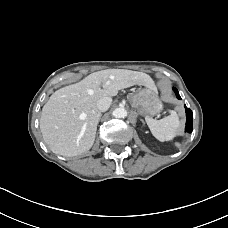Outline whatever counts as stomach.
Returning a JSON list of instances; mask_svg holds the SVG:
<instances>
[{"instance_id":"stomach-1","label":"stomach","mask_w":228,"mask_h":228,"mask_svg":"<svg viewBox=\"0 0 228 228\" xmlns=\"http://www.w3.org/2000/svg\"><path fill=\"white\" fill-rule=\"evenodd\" d=\"M129 101L133 108L147 116H155L163 109L157 90L148 87L139 88L136 93L130 95Z\"/></svg>"}]
</instances>
